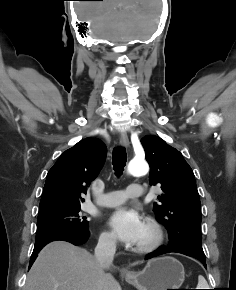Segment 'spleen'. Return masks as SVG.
<instances>
[{
    "label": "spleen",
    "mask_w": 236,
    "mask_h": 290,
    "mask_svg": "<svg viewBox=\"0 0 236 290\" xmlns=\"http://www.w3.org/2000/svg\"><path fill=\"white\" fill-rule=\"evenodd\" d=\"M207 286H208V284H207L205 278L202 275H199L197 289H207Z\"/></svg>",
    "instance_id": "1"
}]
</instances>
